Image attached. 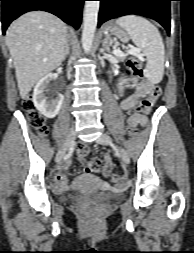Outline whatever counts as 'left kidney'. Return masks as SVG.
<instances>
[{"label": "left kidney", "instance_id": "left-kidney-1", "mask_svg": "<svg viewBox=\"0 0 194 253\" xmlns=\"http://www.w3.org/2000/svg\"><path fill=\"white\" fill-rule=\"evenodd\" d=\"M126 82V80L125 79H121L120 80V83H119V85H120V87L121 88H123L124 86H123V84Z\"/></svg>", "mask_w": 194, "mask_h": 253}]
</instances>
